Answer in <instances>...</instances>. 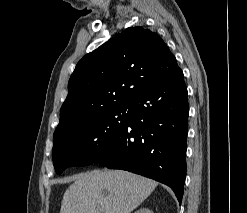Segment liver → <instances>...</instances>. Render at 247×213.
I'll use <instances>...</instances> for the list:
<instances>
[{"label": "liver", "mask_w": 247, "mask_h": 213, "mask_svg": "<svg viewBox=\"0 0 247 213\" xmlns=\"http://www.w3.org/2000/svg\"><path fill=\"white\" fill-rule=\"evenodd\" d=\"M157 184L123 170L82 173L65 191L60 213H130Z\"/></svg>", "instance_id": "6515ba94"}]
</instances>
